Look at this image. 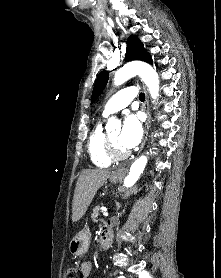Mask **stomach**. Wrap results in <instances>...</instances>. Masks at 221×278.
Returning <instances> with one entry per match:
<instances>
[{
    "label": "stomach",
    "mask_w": 221,
    "mask_h": 278,
    "mask_svg": "<svg viewBox=\"0 0 221 278\" xmlns=\"http://www.w3.org/2000/svg\"><path fill=\"white\" fill-rule=\"evenodd\" d=\"M120 180H121V177L117 176L115 174H112L109 177V181L114 184L118 183ZM90 239H91V236L87 230H83V231L79 232L70 241V244H69L70 253L74 256L84 255L88 251Z\"/></svg>",
    "instance_id": "obj_1"
}]
</instances>
